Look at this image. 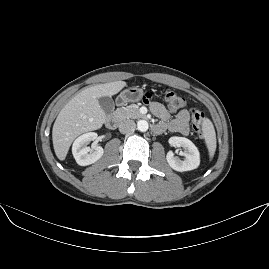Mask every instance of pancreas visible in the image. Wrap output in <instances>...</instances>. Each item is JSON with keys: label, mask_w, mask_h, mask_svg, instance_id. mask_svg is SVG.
<instances>
[{"label": "pancreas", "mask_w": 269, "mask_h": 269, "mask_svg": "<svg viewBox=\"0 0 269 269\" xmlns=\"http://www.w3.org/2000/svg\"><path fill=\"white\" fill-rule=\"evenodd\" d=\"M113 114L120 121L129 119V118L137 119V118L142 117V114L140 113L139 108H137L134 105L118 108L114 111Z\"/></svg>", "instance_id": "pancreas-1"}]
</instances>
